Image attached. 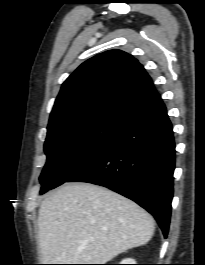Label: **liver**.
I'll return each mask as SVG.
<instances>
[{"mask_svg":"<svg viewBox=\"0 0 205 265\" xmlns=\"http://www.w3.org/2000/svg\"><path fill=\"white\" fill-rule=\"evenodd\" d=\"M38 227L44 264H105L147 244L155 230L152 216L135 202L88 183H68L48 196Z\"/></svg>","mask_w":205,"mask_h":265,"instance_id":"6515ba94","label":"liver"}]
</instances>
